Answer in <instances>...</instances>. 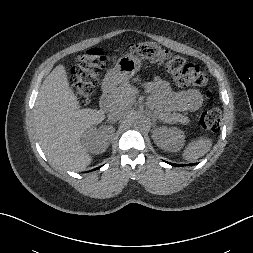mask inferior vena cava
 I'll return each instance as SVG.
<instances>
[{
  "mask_svg": "<svg viewBox=\"0 0 253 253\" xmlns=\"http://www.w3.org/2000/svg\"><path fill=\"white\" fill-rule=\"evenodd\" d=\"M129 104L113 103L108 108V120L110 122H116L122 120L128 111Z\"/></svg>",
  "mask_w": 253,
  "mask_h": 253,
  "instance_id": "inferior-vena-cava-1",
  "label": "inferior vena cava"
}]
</instances>
